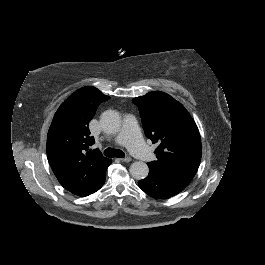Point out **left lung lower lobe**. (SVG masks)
<instances>
[{"mask_svg":"<svg viewBox=\"0 0 265 265\" xmlns=\"http://www.w3.org/2000/svg\"><path fill=\"white\" fill-rule=\"evenodd\" d=\"M191 180V177L166 175L149 169V175L138 184L148 195L157 199H166L184 190Z\"/></svg>","mask_w":265,"mask_h":265,"instance_id":"1","label":"left lung lower lobe"}]
</instances>
